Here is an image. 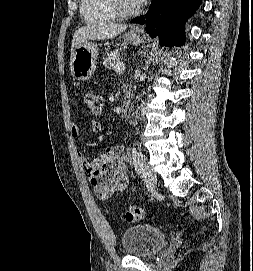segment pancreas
Segmentation results:
<instances>
[{"instance_id":"cf45deb5","label":"pancreas","mask_w":253,"mask_h":271,"mask_svg":"<svg viewBox=\"0 0 253 271\" xmlns=\"http://www.w3.org/2000/svg\"><path fill=\"white\" fill-rule=\"evenodd\" d=\"M122 59L123 58L119 49H116L114 52L108 54L107 57L104 58L103 65L109 69L115 70L116 65L122 63Z\"/></svg>"}]
</instances>
